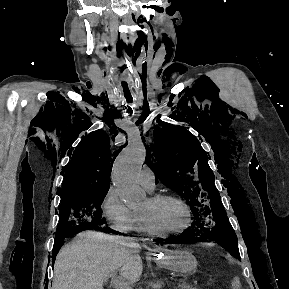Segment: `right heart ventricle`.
Returning a JSON list of instances; mask_svg holds the SVG:
<instances>
[{
    "mask_svg": "<svg viewBox=\"0 0 289 289\" xmlns=\"http://www.w3.org/2000/svg\"><path fill=\"white\" fill-rule=\"evenodd\" d=\"M135 213V217H136V225H135V230L138 231L139 233H147L143 223L141 221V218L139 216V213L134 212Z\"/></svg>",
    "mask_w": 289,
    "mask_h": 289,
    "instance_id": "obj_1",
    "label": "right heart ventricle"
}]
</instances>
